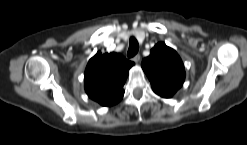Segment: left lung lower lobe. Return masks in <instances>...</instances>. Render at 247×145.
<instances>
[{
    "label": "left lung lower lobe",
    "mask_w": 247,
    "mask_h": 145,
    "mask_svg": "<svg viewBox=\"0 0 247 145\" xmlns=\"http://www.w3.org/2000/svg\"><path fill=\"white\" fill-rule=\"evenodd\" d=\"M161 97H165V98H168V97H166V96H163V95H160Z\"/></svg>",
    "instance_id": "0a47b994"
}]
</instances>
